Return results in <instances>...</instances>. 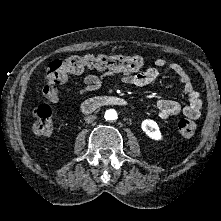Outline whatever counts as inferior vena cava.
<instances>
[{
	"mask_svg": "<svg viewBox=\"0 0 221 221\" xmlns=\"http://www.w3.org/2000/svg\"><path fill=\"white\" fill-rule=\"evenodd\" d=\"M95 119H96L95 115H89V116L85 117V122L92 123Z\"/></svg>",
	"mask_w": 221,
	"mask_h": 221,
	"instance_id": "inferior-vena-cava-1",
	"label": "inferior vena cava"
}]
</instances>
